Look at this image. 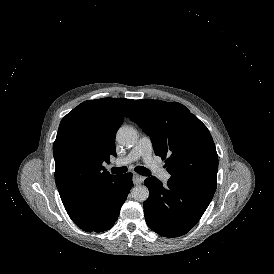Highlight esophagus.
<instances>
[{"instance_id": "1", "label": "esophagus", "mask_w": 274, "mask_h": 274, "mask_svg": "<svg viewBox=\"0 0 274 274\" xmlns=\"http://www.w3.org/2000/svg\"><path fill=\"white\" fill-rule=\"evenodd\" d=\"M144 181V177L138 175L137 173H133V183L135 185H140Z\"/></svg>"}]
</instances>
